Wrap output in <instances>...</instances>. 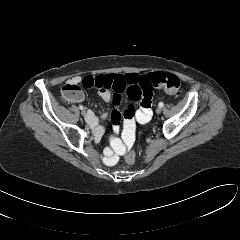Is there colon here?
I'll use <instances>...</instances> for the list:
<instances>
[{
  "mask_svg": "<svg viewBox=\"0 0 240 240\" xmlns=\"http://www.w3.org/2000/svg\"><path fill=\"white\" fill-rule=\"evenodd\" d=\"M147 78L152 85V87L157 89H162L166 93L178 96L182 91V83L178 76L172 73L166 72H152L147 75ZM62 95L64 98L68 100L79 98L82 95L81 88L78 84L75 83H67L62 88ZM129 96L131 100L137 101L138 93L135 88H131L129 90ZM135 115V109L133 105H129L124 111V118L126 120H132ZM132 133H125V140L128 145L131 143ZM136 158L135 152L133 150L128 149L126 152L124 159L121 161V164L131 165L134 163Z\"/></svg>",
  "mask_w": 240,
  "mask_h": 240,
  "instance_id": "5ec220e1",
  "label": "colon"
}]
</instances>
